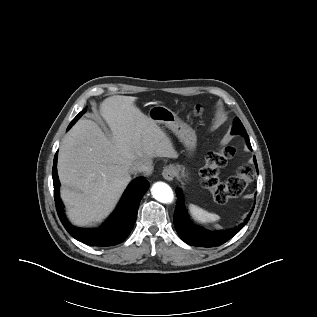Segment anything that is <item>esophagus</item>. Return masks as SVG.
<instances>
[{
  "label": "esophagus",
  "instance_id": "obj_1",
  "mask_svg": "<svg viewBox=\"0 0 317 317\" xmlns=\"http://www.w3.org/2000/svg\"><path fill=\"white\" fill-rule=\"evenodd\" d=\"M176 173V169L173 166H167L164 168V170L162 171V176L165 180L167 181H171L173 180L174 176Z\"/></svg>",
  "mask_w": 317,
  "mask_h": 317
}]
</instances>
